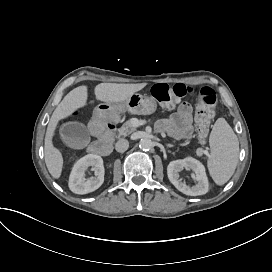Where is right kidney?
Returning <instances> with one entry per match:
<instances>
[{
	"instance_id": "obj_1",
	"label": "right kidney",
	"mask_w": 272,
	"mask_h": 272,
	"mask_svg": "<svg viewBox=\"0 0 272 272\" xmlns=\"http://www.w3.org/2000/svg\"><path fill=\"white\" fill-rule=\"evenodd\" d=\"M92 167L95 177L85 179V171ZM103 159L94 154H88L79 159L73 166L69 177V188L75 194H87L98 189L104 182Z\"/></svg>"
}]
</instances>
